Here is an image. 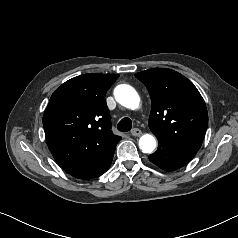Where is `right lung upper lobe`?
I'll use <instances>...</instances> for the list:
<instances>
[{
    "label": "right lung upper lobe",
    "instance_id": "1",
    "mask_svg": "<svg viewBox=\"0 0 238 238\" xmlns=\"http://www.w3.org/2000/svg\"><path fill=\"white\" fill-rule=\"evenodd\" d=\"M119 74H83L63 83L43 115L46 142L70 175L91 179L104 173L121 137L111 131L105 95Z\"/></svg>",
    "mask_w": 238,
    "mask_h": 238
}]
</instances>
